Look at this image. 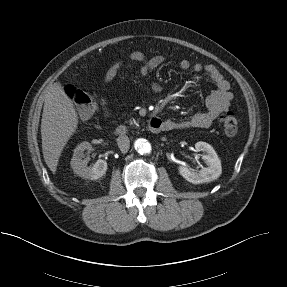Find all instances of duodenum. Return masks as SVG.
Wrapping results in <instances>:
<instances>
[{
  "label": "duodenum",
  "mask_w": 287,
  "mask_h": 287,
  "mask_svg": "<svg viewBox=\"0 0 287 287\" xmlns=\"http://www.w3.org/2000/svg\"><path fill=\"white\" fill-rule=\"evenodd\" d=\"M164 125L160 118L152 117L149 121V130L152 133H159L163 130ZM116 135H125L128 133V127L124 124L117 125L114 129Z\"/></svg>",
  "instance_id": "duodenum-1"
}]
</instances>
